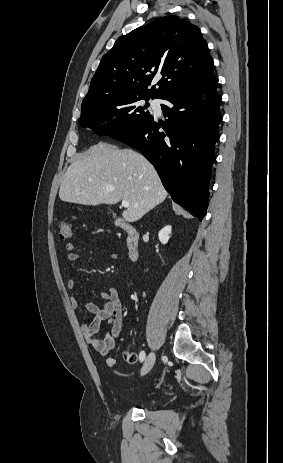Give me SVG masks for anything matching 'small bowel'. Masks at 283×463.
Here are the masks:
<instances>
[{
	"label": "small bowel",
	"instance_id": "obj_1",
	"mask_svg": "<svg viewBox=\"0 0 283 463\" xmlns=\"http://www.w3.org/2000/svg\"><path fill=\"white\" fill-rule=\"evenodd\" d=\"M100 247L106 248V245L100 243ZM66 250L68 261L76 262L78 260V254L75 252L73 244H66ZM113 257L116 258V255L114 254ZM67 286L70 290H73L77 286V281L75 279H69ZM70 304L72 308H78V300L75 296L70 297ZM84 308L92 314V317L84 321L81 325V330L86 342L101 356H108L124 324L123 308L119 294L115 289L110 288L102 293L101 305L86 301L84 303ZM103 322L108 324V331L104 338L100 339L97 337V333ZM106 365L109 368H116L118 361L114 357H107Z\"/></svg>",
	"mask_w": 283,
	"mask_h": 463
}]
</instances>
